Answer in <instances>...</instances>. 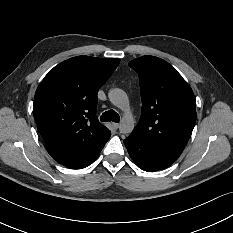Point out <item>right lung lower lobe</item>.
<instances>
[{
  "instance_id": "98d812e1",
  "label": "right lung lower lobe",
  "mask_w": 233,
  "mask_h": 233,
  "mask_svg": "<svg viewBox=\"0 0 233 233\" xmlns=\"http://www.w3.org/2000/svg\"><path fill=\"white\" fill-rule=\"evenodd\" d=\"M102 148L100 150H98L96 153H94L92 156H90L88 159H86V160H84V161H82L80 163L72 164V165H69V166H66V167L71 168V169H80V168L87 167L89 164H91L98 157V155H99L100 151L102 150Z\"/></svg>"
}]
</instances>
